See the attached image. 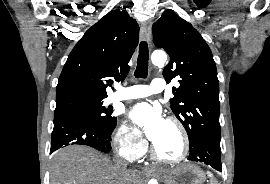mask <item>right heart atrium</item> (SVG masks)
I'll use <instances>...</instances> for the list:
<instances>
[{
	"label": "right heart atrium",
	"mask_w": 270,
	"mask_h": 184,
	"mask_svg": "<svg viewBox=\"0 0 270 184\" xmlns=\"http://www.w3.org/2000/svg\"><path fill=\"white\" fill-rule=\"evenodd\" d=\"M115 146L120 155L128 160L140 158L147 149L145 140L140 138L127 124L118 128L114 137Z\"/></svg>",
	"instance_id": "1"
}]
</instances>
